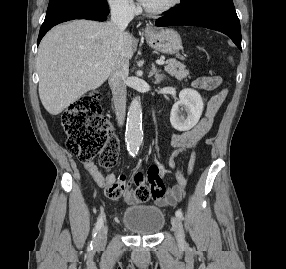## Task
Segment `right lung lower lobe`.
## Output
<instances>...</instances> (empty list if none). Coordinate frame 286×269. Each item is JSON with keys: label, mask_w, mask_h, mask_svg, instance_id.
I'll use <instances>...</instances> for the list:
<instances>
[{"label": "right lung lower lobe", "mask_w": 286, "mask_h": 269, "mask_svg": "<svg viewBox=\"0 0 286 269\" xmlns=\"http://www.w3.org/2000/svg\"><path fill=\"white\" fill-rule=\"evenodd\" d=\"M109 13H103V12H98V11H93V10H88V9H75V10H70L67 12H63L51 17L45 18L40 32H39V37H38V42L37 44L40 43L41 39L43 36L49 31L53 26L66 22L69 20L73 19H89V20H97V21H104L107 19V15Z\"/></svg>", "instance_id": "right-lung-lower-lobe-1"}]
</instances>
